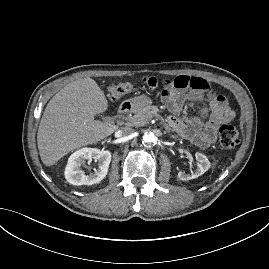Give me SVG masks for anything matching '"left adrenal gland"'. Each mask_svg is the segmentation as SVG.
<instances>
[{
	"label": "left adrenal gland",
	"mask_w": 269,
	"mask_h": 269,
	"mask_svg": "<svg viewBox=\"0 0 269 269\" xmlns=\"http://www.w3.org/2000/svg\"><path fill=\"white\" fill-rule=\"evenodd\" d=\"M170 138H175V136H173V135H170Z\"/></svg>",
	"instance_id": "a2214340"
}]
</instances>
